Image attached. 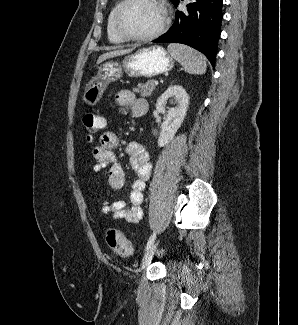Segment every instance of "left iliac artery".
Instances as JSON below:
<instances>
[{
	"label": "left iliac artery",
	"mask_w": 298,
	"mask_h": 325,
	"mask_svg": "<svg viewBox=\"0 0 298 325\" xmlns=\"http://www.w3.org/2000/svg\"><path fill=\"white\" fill-rule=\"evenodd\" d=\"M155 237H156L155 233H153L150 236V238H149V240L147 242V245H146V250L154 243Z\"/></svg>",
	"instance_id": "obj_1"
}]
</instances>
